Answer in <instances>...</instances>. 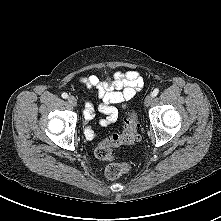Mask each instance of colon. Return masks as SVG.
Listing matches in <instances>:
<instances>
[{
	"mask_svg": "<svg viewBox=\"0 0 221 221\" xmlns=\"http://www.w3.org/2000/svg\"><path fill=\"white\" fill-rule=\"evenodd\" d=\"M139 138L138 119L134 112H129L124 119L120 133L105 137L96 147L95 155L101 160L110 161L114 158L113 149L121 145L135 143ZM130 169L128 163H111L105 169V175L110 180L121 177Z\"/></svg>",
	"mask_w": 221,
	"mask_h": 221,
	"instance_id": "5ec220e1",
	"label": "colon"
}]
</instances>
